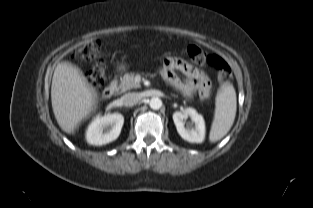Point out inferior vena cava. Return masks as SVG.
Returning <instances> with one entry per match:
<instances>
[{"label":"inferior vena cava","instance_id":"1","mask_svg":"<svg viewBox=\"0 0 313 208\" xmlns=\"http://www.w3.org/2000/svg\"><path fill=\"white\" fill-rule=\"evenodd\" d=\"M140 100V97L137 93H127L121 97V101L124 106H134Z\"/></svg>","mask_w":313,"mask_h":208}]
</instances>
